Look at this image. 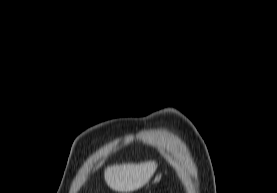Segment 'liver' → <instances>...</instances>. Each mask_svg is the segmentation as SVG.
Instances as JSON below:
<instances>
[{"label": "liver", "instance_id": "6515ba94", "mask_svg": "<svg viewBox=\"0 0 277 193\" xmlns=\"http://www.w3.org/2000/svg\"><path fill=\"white\" fill-rule=\"evenodd\" d=\"M156 169L155 161L113 165L105 169L104 178L108 187L116 192H133L149 182Z\"/></svg>", "mask_w": 277, "mask_h": 193}]
</instances>
